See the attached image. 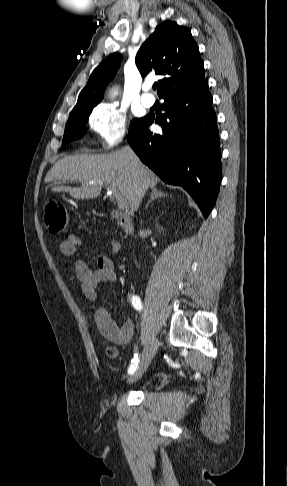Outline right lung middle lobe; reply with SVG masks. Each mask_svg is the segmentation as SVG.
<instances>
[{
    "label": "right lung middle lobe",
    "mask_w": 287,
    "mask_h": 486,
    "mask_svg": "<svg viewBox=\"0 0 287 486\" xmlns=\"http://www.w3.org/2000/svg\"><path fill=\"white\" fill-rule=\"evenodd\" d=\"M93 107L82 111L80 113L70 114L68 122L65 127V134L62 144L65 145L82 136L85 131V126ZM141 119H134L131 122L129 132L140 122Z\"/></svg>",
    "instance_id": "obj_1"
}]
</instances>
